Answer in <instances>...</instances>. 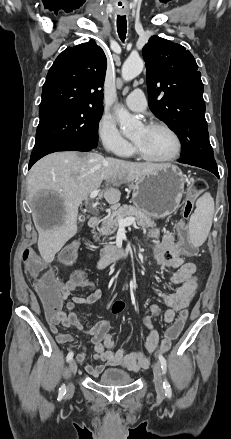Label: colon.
<instances>
[{"mask_svg":"<svg viewBox=\"0 0 231 439\" xmlns=\"http://www.w3.org/2000/svg\"><path fill=\"white\" fill-rule=\"evenodd\" d=\"M206 187L203 180L196 179L193 182L191 188V197L188 198L182 208V220L178 225V235L180 238V244L183 250L177 252V257L181 259L182 262H187L188 259H195L197 257L196 248L192 244L189 233L185 224V221L189 218L193 210V197L200 194ZM25 253L23 256L25 267L29 272L35 276L34 290L37 292V297L40 300L42 306H45V316L49 320H58L59 313L56 309L59 308L60 303V282L57 276L53 272L48 271L46 268V261L41 260L36 255V248H31L27 246L25 248ZM79 251V245L76 241L67 245L62 249L59 254V262L63 265H71L75 262ZM75 280L80 282L82 285H86V281L81 272H75L73 274ZM124 304L121 301L115 302L113 305V312L119 314L122 312ZM178 318L173 322V324L165 332V339L168 341L175 340L182 328L185 321L187 320L188 310L186 306L178 307Z\"/></svg>","mask_w":231,"mask_h":439,"instance_id":"5ec220e1","label":"colon"}]
</instances>
